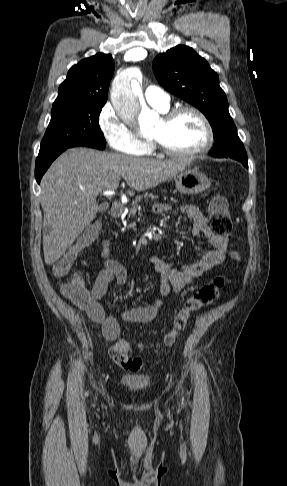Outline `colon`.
<instances>
[{
    "instance_id": "1",
    "label": "colon",
    "mask_w": 287,
    "mask_h": 486,
    "mask_svg": "<svg viewBox=\"0 0 287 486\" xmlns=\"http://www.w3.org/2000/svg\"><path fill=\"white\" fill-rule=\"evenodd\" d=\"M210 224L215 234L231 238L232 219L228 210L227 200L220 195L214 196L209 205ZM99 233V224L89 226L79 237L75 245L53 265V274L57 278L67 276L74 264L78 252L94 242ZM227 279L219 276L212 282L202 285L185 303L176 310L169 331L163 339L165 345H171L177 336L185 329L191 316L213 304L219 297ZM62 294L77 306L85 307L90 299L86 279L81 274H75L71 280L61 287ZM130 346L125 339L117 340L109 349L112 361L128 371H139L144 367V361L129 353Z\"/></svg>"
}]
</instances>
